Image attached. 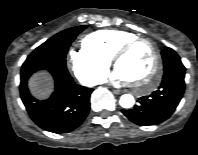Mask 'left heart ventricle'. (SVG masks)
Returning a JSON list of instances; mask_svg holds the SVG:
<instances>
[{
    "instance_id": "obj_1",
    "label": "left heart ventricle",
    "mask_w": 198,
    "mask_h": 155,
    "mask_svg": "<svg viewBox=\"0 0 198 155\" xmlns=\"http://www.w3.org/2000/svg\"><path fill=\"white\" fill-rule=\"evenodd\" d=\"M154 63L151 47L144 42L138 43L116 64L130 82L140 83L150 73Z\"/></svg>"
}]
</instances>
